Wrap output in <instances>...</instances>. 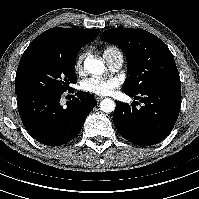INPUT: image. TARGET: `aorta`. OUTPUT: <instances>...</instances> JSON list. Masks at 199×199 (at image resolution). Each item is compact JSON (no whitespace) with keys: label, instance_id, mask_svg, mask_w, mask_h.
Instances as JSON below:
<instances>
[{"label":"aorta","instance_id":"1","mask_svg":"<svg viewBox=\"0 0 199 199\" xmlns=\"http://www.w3.org/2000/svg\"><path fill=\"white\" fill-rule=\"evenodd\" d=\"M85 70L94 75H100L104 72L105 66L104 63L93 56L88 57L84 62ZM100 109L103 112L110 113L115 109V102L111 99H104L100 103Z\"/></svg>","mask_w":199,"mask_h":199}]
</instances>
